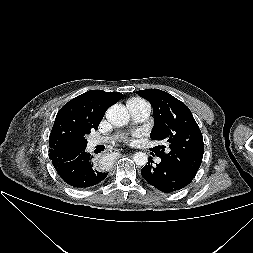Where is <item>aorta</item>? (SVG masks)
Returning a JSON list of instances; mask_svg holds the SVG:
<instances>
[{
    "mask_svg": "<svg viewBox=\"0 0 253 253\" xmlns=\"http://www.w3.org/2000/svg\"><path fill=\"white\" fill-rule=\"evenodd\" d=\"M106 118L112 125L120 127L128 123L129 114L124 105L115 104L107 110ZM133 160L136 165L144 166L148 161V156L143 152H137L134 154Z\"/></svg>",
    "mask_w": 253,
    "mask_h": 253,
    "instance_id": "762f6f07",
    "label": "aorta"
}]
</instances>
